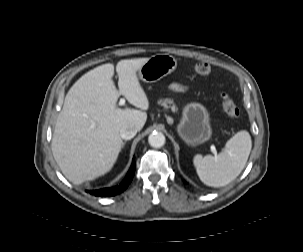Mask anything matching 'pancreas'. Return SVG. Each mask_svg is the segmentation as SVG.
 <instances>
[{"label":"pancreas","instance_id":"1","mask_svg":"<svg viewBox=\"0 0 303 252\" xmlns=\"http://www.w3.org/2000/svg\"><path fill=\"white\" fill-rule=\"evenodd\" d=\"M158 104L161 105V106H163V107H168V106H170L171 109H172V111H174V112L178 110V109H177V106H176V104H175V102H174L173 99H169V98L160 99V100L158 101Z\"/></svg>","mask_w":303,"mask_h":252}]
</instances>
